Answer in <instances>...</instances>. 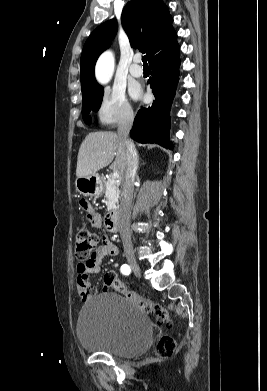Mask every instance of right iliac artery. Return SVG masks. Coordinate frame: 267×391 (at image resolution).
<instances>
[{
	"instance_id": "82829eb1",
	"label": "right iliac artery",
	"mask_w": 267,
	"mask_h": 391,
	"mask_svg": "<svg viewBox=\"0 0 267 391\" xmlns=\"http://www.w3.org/2000/svg\"><path fill=\"white\" fill-rule=\"evenodd\" d=\"M130 267L127 265V264H124L121 266V272L125 275H129L130 274Z\"/></svg>"
}]
</instances>
